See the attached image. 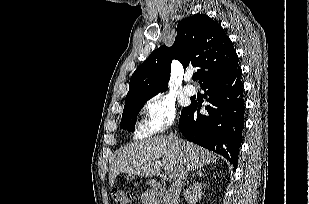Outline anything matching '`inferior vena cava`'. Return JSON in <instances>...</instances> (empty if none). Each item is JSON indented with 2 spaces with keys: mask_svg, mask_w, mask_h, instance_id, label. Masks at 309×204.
Wrapping results in <instances>:
<instances>
[{
  "mask_svg": "<svg viewBox=\"0 0 309 204\" xmlns=\"http://www.w3.org/2000/svg\"><path fill=\"white\" fill-rule=\"evenodd\" d=\"M169 138L172 139L175 143H178V138L176 137V135H173L171 133ZM188 171V167L184 163H182L176 176L174 177V181L169 189V193L166 196V204H177V200L184 186V181L186 180Z\"/></svg>",
  "mask_w": 309,
  "mask_h": 204,
  "instance_id": "inferior-vena-cava-1",
  "label": "inferior vena cava"
}]
</instances>
